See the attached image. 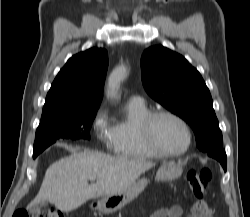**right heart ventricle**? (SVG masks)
I'll use <instances>...</instances> for the list:
<instances>
[{
  "label": "right heart ventricle",
  "mask_w": 250,
  "mask_h": 217,
  "mask_svg": "<svg viewBox=\"0 0 250 217\" xmlns=\"http://www.w3.org/2000/svg\"><path fill=\"white\" fill-rule=\"evenodd\" d=\"M150 113L144 102H128L125 116L111 125L112 151L120 156L138 159H154L156 155L145 143L141 133V122Z\"/></svg>",
  "instance_id": "right-heart-ventricle-1"
}]
</instances>
